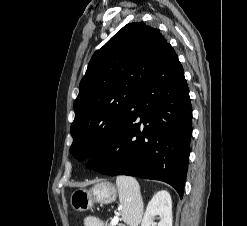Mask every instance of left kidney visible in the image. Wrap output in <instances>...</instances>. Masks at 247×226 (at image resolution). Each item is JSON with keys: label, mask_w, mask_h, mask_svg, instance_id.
I'll list each match as a JSON object with an SVG mask.
<instances>
[{"label": "left kidney", "mask_w": 247, "mask_h": 226, "mask_svg": "<svg viewBox=\"0 0 247 226\" xmlns=\"http://www.w3.org/2000/svg\"><path fill=\"white\" fill-rule=\"evenodd\" d=\"M160 221L155 223V217ZM172 200L167 191L157 192L149 201L143 215L141 226H172Z\"/></svg>", "instance_id": "5707ae66"}]
</instances>
